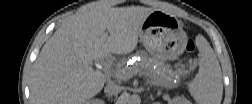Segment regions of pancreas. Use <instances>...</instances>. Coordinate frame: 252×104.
Masks as SVG:
<instances>
[{
	"instance_id": "pancreas-1",
	"label": "pancreas",
	"mask_w": 252,
	"mask_h": 104,
	"mask_svg": "<svg viewBox=\"0 0 252 104\" xmlns=\"http://www.w3.org/2000/svg\"><path fill=\"white\" fill-rule=\"evenodd\" d=\"M124 64L125 62L123 61L116 65L117 78L120 80H126L124 77L118 75L119 70L124 69ZM156 64L158 65V69H154V65ZM128 70L134 71L135 74H145L151 79L153 84L164 87H175L180 81L179 72L173 71L169 65L164 63H156L146 55L141 56V61L136 62Z\"/></svg>"
}]
</instances>
